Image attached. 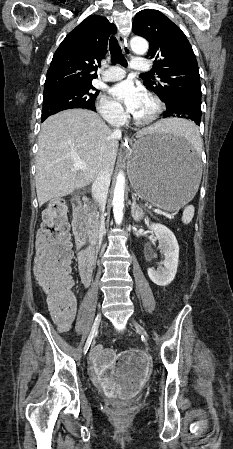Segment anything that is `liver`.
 Listing matches in <instances>:
<instances>
[{
  "mask_svg": "<svg viewBox=\"0 0 233 449\" xmlns=\"http://www.w3.org/2000/svg\"><path fill=\"white\" fill-rule=\"evenodd\" d=\"M181 122L173 118L162 119L140 130L136 137L158 131L173 132ZM119 138L98 114L90 110L70 109L47 118L41 125L36 155L39 205L89 185L103 167L111 174ZM78 159L86 164V170L75 167Z\"/></svg>",
  "mask_w": 233,
  "mask_h": 449,
  "instance_id": "obj_1",
  "label": "liver"
}]
</instances>
